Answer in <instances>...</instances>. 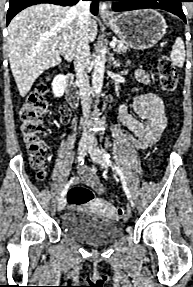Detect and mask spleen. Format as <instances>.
I'll return each instance as SVG.
<instances>
[{"instance_id": "3e777b00", "label": "spleen", "mask_w": 193, "mask_h": 287, "mask_svg": "<svg viewBox=\"0 0 193 287\" xmlns=\"http://www.w3.org/2000/svg\"><path fill=\"white\" fill-rule=\"evenodd\" d=\"M171 62L173 65L182 68L185 62V47L184 42L180 37H177L174 45L172 47V51L170 54Z\"/></svg>"}]
</instances>
